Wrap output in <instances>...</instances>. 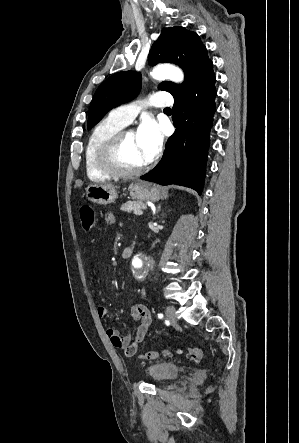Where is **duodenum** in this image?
<instances>
[{
    "mask_svg": "<svg viewBox=\"0 0 299 443\" xmlns=\"http://www.w3.org/2000/svg\"><path fill=\"white\" fill-rule=\"evenodd\" d=\"M134 251V246L133 245H129L126 248H124V250L121 253V257L122 258H128L132 255Z\"/></svg>",
    "mask_w": 299,
    "mask_h": 443,
    "instance_id": "410a0bca",
    "label": "duodenum"
}]
</instances>
